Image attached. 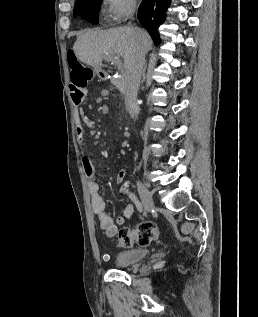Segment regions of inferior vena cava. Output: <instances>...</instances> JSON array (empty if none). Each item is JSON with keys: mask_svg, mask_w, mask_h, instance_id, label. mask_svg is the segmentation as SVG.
Listing matches in <instances>:
<instances>
[{"mask_svg": "<svg viewBox=\"0 0 258 317\" xmlns=\"http://www.w3.org/2000/svg\"><path fill=\"white\" fill-rule=\"evenodd\" d=\"M135 10H136V2L135 0H132L131 4H129L130 18H132ZM132 30H133V36H134L135 52L126 70L127 76L125 80L124 94H125L126 108L129 114H131L132 118H134V116H136V112H135L136 98H137V92H138L140 78H141V74L143 70L145 48L141 42L139 28H136V26H132Z\"/></svg>", "mask_w": 258, "mask_h": 317, "instance_id": "1", "label": "inferior vena cava"}]
</instances>
